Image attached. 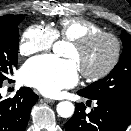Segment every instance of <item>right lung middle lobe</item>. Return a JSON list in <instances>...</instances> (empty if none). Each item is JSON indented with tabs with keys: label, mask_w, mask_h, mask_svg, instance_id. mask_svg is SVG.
Segmentation results:
<instances>
[{
	"label": "right lung middle lobe",
	"mask_w": 131,
	"mask_h": 131,
	"mask_svg": "<svg viewBox=\"0 0 131 131\" xmlns=\"http://www.w3.org/2000/svg\"><path fill=\"white\" fill-rule=\"evenodd\" d=\"M23 19V15H8L0 18V85L18 63V24Z\"/></svg>",
	"instance_id": "1"
}]
</instances>
